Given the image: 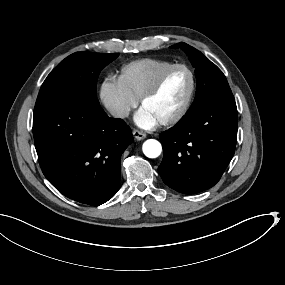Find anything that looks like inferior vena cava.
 <instances>
[{
    "label": "inferior vena cava",
    "instance_id": "1",
    "mask_svg": "<svg viewBox=\"0 0 285 285\" xmlns=\"http://www.w3.org/2000/svg\"><path fill=\"white\" fill-rule=\"evenodd\" d=\"M110 114L115 118H125L128 117L130 108L127 106H110L108 108Z\"/></svg>",
    "mask_w": 285,
    "mask_h": 285
}]
</instances>
